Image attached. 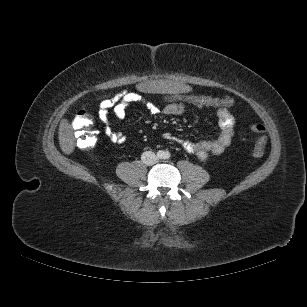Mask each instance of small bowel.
Masks as SVG:
<instances>
[{"label": "small bowel", "mask_w": 307, "mask_h": 307, "mask_svg": "<svg viewBox=\"0 0 307 307\" xmlns=\"http://www.w3.org/2000/svg\"><path fill=\"white\" fill-rule=\"evenodd\" d=\"M136 103L143 104L151 115H166L176 116L181 115L185 111L183 103H170L163 107H159L152 101L144 98L141 93L128 92L117 94L113 97H108L102 100L99 106L98 118L103 124V130L106 136L114 143H124L126 137L122 132L115 131L110 124V114L118 119H123L126 116L128 108ZM218 126L220 133L217 137L204 140L200 143H193L189 140L178 139L170 133H165L164 138L180 143L185 150L190 153L201 151L209 152L213 155H220L230 145L234 135L235 118L228 108L220 107L217 109Z\"/></svg>", "instance_id": "1"}]
</instances>
